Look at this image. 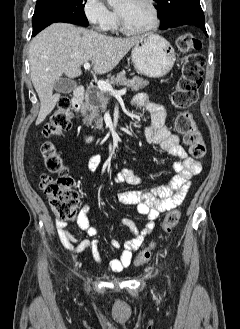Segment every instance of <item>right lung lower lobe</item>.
<instances>
[{
  "label": "right lung lower lobe",
  "mask_w": 240,
  "mask_h": 329,
  "mask_svg": "<svg viewBox=\"0 0 240 329\" xmlns=\"http://www.w3.org/2000/svg\"><path fill=\"white\" fill-rule=\"evenodd\" d=\"M52 23H54V21H45V22L38 23L37 25H35L33 27L32 36H35L38 32H40L42 29H44L45 27H47L48 25H50Z\"/></svg>",
  "instance_id": "1"
}]
</instances>
